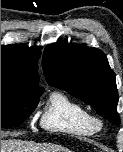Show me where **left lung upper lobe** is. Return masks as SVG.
I'll use <instances>...</instances> for the list:
<instances>
[{"label":"left lung upper lobe","mask_w":123,"mask_h":152,"mask_svg":"<svg viewBox=\"0 0 123 152\" xmlns=\"http://www.w3.org/2000/svg\"><path fill=\"white\" fill-rule=\"evenodd\" d=\"M42 66L49 85L80 98L111 123L120 124L115 73L101 50L85 44H50L44 50Z\"/></svg>","instance_id":"left-lung-upper-lobe-1"}]
</instances>
